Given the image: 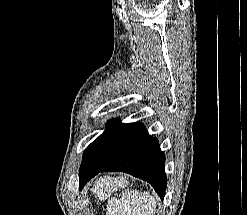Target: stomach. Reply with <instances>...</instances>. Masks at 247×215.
I'll list each match as a JSON object with an SVG mask.
<instances>
[{"label":"stomach","instance_id":"obj_1","mask_svg":"<svg viewBox=\"0 0 247 215\" xmlns=\"http://www.w3.org/2000/svg\"><path fill=\"white\" fill-rule=\"evenodd\" d=\"M117 182L113 181L110 178L107 179H100L96 182L95 188L98 187L96 190L97 193L103 192V196L109 194L112 190L115 189ZM121 184V182H119ZM105 194V195H104Z\"/></svg>","mask_w":247,"mask_h":215}]
</instances>
